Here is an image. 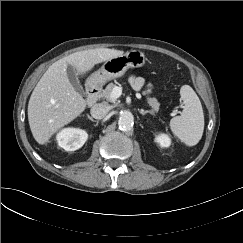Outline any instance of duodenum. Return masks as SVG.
<instances>
[{
  "mask_svg": "<svg viewBox=\"0 0 243 243\" xmlns=\"http://www.w3.org/2000/svg\"><path fill=\"white\" fill-rule=\"evenodd\" d=\"M100 94V88L96 84H89L87 87L86 101L89 106L96 103Z\"/></svg>",
  "mask_w": 243,
  "mask_h": 243,
  "instance_id": "duodenum-1",
  "label": "duodenum"
}]
</instances>
